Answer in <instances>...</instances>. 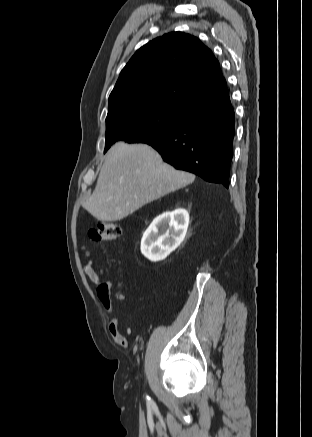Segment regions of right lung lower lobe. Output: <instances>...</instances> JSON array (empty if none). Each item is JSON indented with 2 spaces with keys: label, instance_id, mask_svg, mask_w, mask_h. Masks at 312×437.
Returning <instances> with one entry per match:
<instances>
[{
  "label": "right lung lower lobe",
  "instance_id": "1",
  "mask_svg": "<svg viewBox=\"0 0 312 437\" xmlns=\"http://www.w3.org/2000/svg\"><path fill=\"white\" fill-rule=\"evenodd\" d=\"M235 114L229 91L194 109L174 131L147 143L164 161L205 181L229 187Z\"/></svg>",
  "mask_w": 312,
  "mask_h": 437
}]
</instances>
